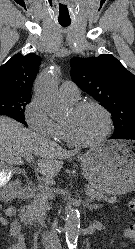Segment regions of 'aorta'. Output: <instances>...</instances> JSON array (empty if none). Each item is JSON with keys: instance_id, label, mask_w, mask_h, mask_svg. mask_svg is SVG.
<instances>
[{"instance_id": "762f6f07", "label": "aorta", "mask_w": 135, "mask_h": 249, "mask_svg": "<svg viewBox=\"0 0 135 249\" xmlns=\"http://www.w3.org/2000/svg\"><path fill=\"white\" fill-rule=\"evenodd\" d=\"M59 71L58 67H51L37 79L35 84V97L49 113L61 111L63 108L62 97L57 87ZM64 229L69 249H76L80 234L78 209L70 208L67 211Z\"/></svg>"}]
</instances>
